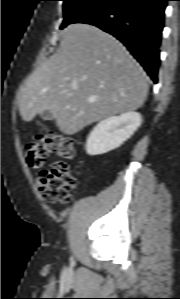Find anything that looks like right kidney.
<instances>
[{
	"label": "right kidney",
	"instance_id": "ca27d5eb",
	"mask_svg": "<svg viewBox=\"0 0 180 299\" xmlns=\"http://www.w3.org/2000/svg\"><path fill=\"white\" fill-rule=\"evenodd\" d=\"M141 121L140 113L133 111L100 121L87 138V154L100 155L118 148L133 135Z\"/></svg>",
	"mask_w": 180,
	"mask_h": 299
}]
</instances>
